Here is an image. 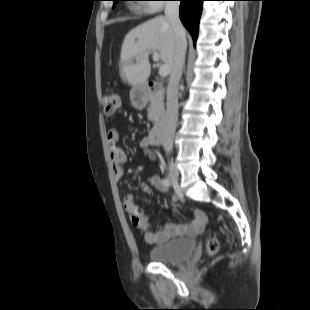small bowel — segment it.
Masks as SVG:
<instances>
[{
  "label": "small bowel",
  "instance_id": "c3829d8e",
  "mask_svg": "<svg viewBox=\"0 0 310 310\" xmlns=\"http://www.w3.org/2000/svg\"><path fill=\"white\" fill-rule=\"evenodd\" d=\"M107 141L109 145L110 158L112 161L114 177L116 181H120L123 175V166L128 158L126 154L117 145L118 132L116 128L110 127L107 132ZM139 146L150 157L151 160L156 159V154L149 149V141L147 137H140ZM147 182L160 191L169 190L163 184V180L158 175L147 178ZM177 197L173 196L172 200L177 201ZM122 205L130 215L133 225L140 231L144 232L145 240L150 244H162L181 234L195 235L202 231L207 224V217L201 210H196L193 214V221L188 225H179L175 223H167L157 230L151 228L148 216L141 212L138 203L133 195L126 194L123 197Z\"/></svg>",
  "mask_w": 310,
  "mask_h": 310
}]
</instances>
